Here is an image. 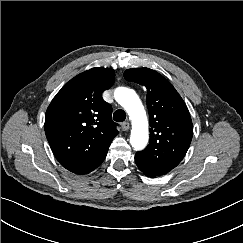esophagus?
<instances>
[{
    "instance_id": "1",
    "label": "esophagus",
    "mask_w": 243,
    "mask_h": 243,
    "mask_svg": "<svg viewBox=\"0 0 243 243\" xmlns=\"http://www.w3.org/2000/svg\"><path fill=\"white\" fill-rule=\"evenodd\" d=\"M121 128H122L123 131H128L129 128H130V124H129V122H123V123L121 124Z\"/></svg>"
}]
</instances>
